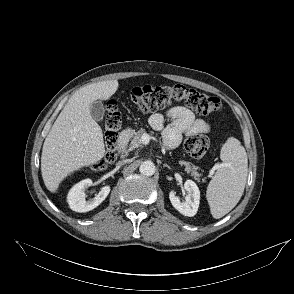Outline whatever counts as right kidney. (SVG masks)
I'll return each mask as SVG.
<instances>
[{"label": "right kidney", "mask_w": 294, "mask_h": 294, "mask_svg": "<svg viewBox=\"0 0 294 294\" xmlns=\"http://www.w3.org/2000/svg\"><path fill=\"white\" fill-rule=\"evenodd\" d=\"M92 185L91 179H84L75 184L67 195V202L70 208L76 212H88L99 206L108 196L110 186L102 187L101 191L94 197L88 200L85 199V190Z\"/></svg>", "instance_id": "ca27d5eb"}]
</instances>
